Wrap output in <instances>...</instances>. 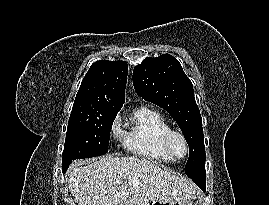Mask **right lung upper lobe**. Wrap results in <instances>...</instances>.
<instances>
[{
	"mask_svg": "<svg viewBox=\"0 0 269 205\" xmlns=\"http://www.w3.org/2000/svg\"><path fill=\"white\" fill-rule=\"evenodd\" d=\"M127 74L124 61L93 63L82 80L72 110L117 114L125 102Z\"/></svg>",
	"mask_w": 269,
	"mask_h": 205,
	"instance_id": "1",
	"label": "right lung upper lobe"
}]
</instances>
